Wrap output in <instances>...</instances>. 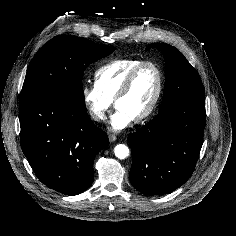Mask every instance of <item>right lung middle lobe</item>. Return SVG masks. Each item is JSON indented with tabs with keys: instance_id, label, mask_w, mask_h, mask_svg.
<instances>
[{
	"instance_id": "obj_1",
	"label": "right lung middle lobe",
	"mask_w": 236,
	"mask_h": 236,
	"mask_svg": "<svg viewBox=\"0 0 236 236\" xmlns=\"http://www.w3.org/2000/svg\"><path fill=\"white\" fill-rule=\"evenodd\" d=\"M114 51L85 38L59 35L36 53L28 67L20 101L35 95H54L82 103L83 72L88 65Z\"/></svg>"
}]
</instances>
